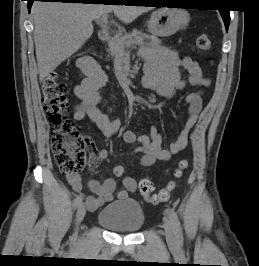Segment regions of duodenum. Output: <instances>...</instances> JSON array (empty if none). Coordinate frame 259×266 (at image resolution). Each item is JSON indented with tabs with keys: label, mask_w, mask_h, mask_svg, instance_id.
<instances>
[{
	"label": "duodenum",
	"mask_w": 259,
	"mask_h": 266,
	"mask_svg": "<svg viewBox=\"0 0 259 266\" xmlns=\"http://www.w3.org/2000/svg\"><path fill=\"white\" fill-rule=\"evenodd\" d=\"M98 36L101 41H107L110 38V32L106 29H103L99 32ZM81 67L86 74H89L93 68V62L91 59L86 58L83 60Z\"/></svg>",
	"instance_id": "1"
}]
</instances>
